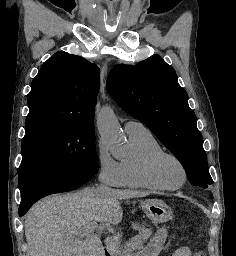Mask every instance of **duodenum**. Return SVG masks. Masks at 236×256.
Listing matches in <instances>:
<instances>
[{"label": "duodenum", "mask_w": 236, "mask_h": 256, "mask_svg": "<svg viewBox=\"0 0 236 256\" xmlns=\"http://www.w3.org/2000/svg\"><path fill=\"white\" fill-rule=\"evenodd\" d=\"M99 256H113L111 248L107 245L103 246L100 249Z\"/></svg>", "instance_id": "410a0bca"}]
</instances>
